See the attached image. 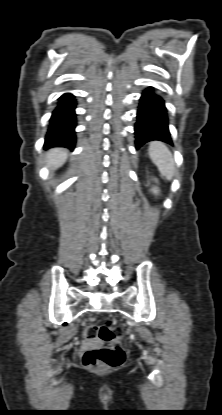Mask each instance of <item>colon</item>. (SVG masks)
<instances>
[{
    "label": "colon",
    "mask_w": 222,
    "mask_h": 415,
    "mask_svg": "<svg viewBox=\"0 0 222 415\" xmlns=\"http://www.w3.org/2000/svg\"><path fill=\"white\" fill-rule=\"evenodd\" d=\"M122 335V329L112 319H107L103 324H91L85 327L83 338L87 342L101 340L109 343ZM126 359L123 347L98 346L87 349L82 357V363L88 368L98 371L119 367Z\"/></svg>",
    "instance_id": "obj_1"
}]
</instances>
